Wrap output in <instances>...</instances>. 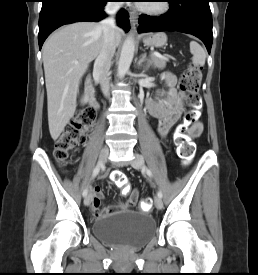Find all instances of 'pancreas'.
I'll list each match as a JSON object with an SVG mask.
<instances>
[{
    "label": "pancreas",
    "mask_w": 258,
    "mask_h": 275,
    "mask_svg": "<svg viewBox=\"0 0 258 275\" xmlns=\"http://www.w3.org/2000/svg\"><path fill=\"white\" fill-rule=\"evenodd\" d=\"M148 64L153 65L154 68L164 69L166 66V60H163L157 56L151 55L150 60H148Z\"/></svg>",
    "instance_id": "obj_1"
}]
</instances>
